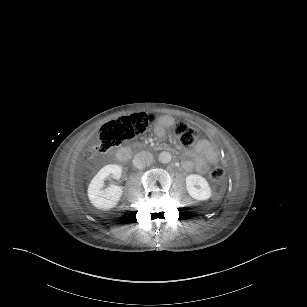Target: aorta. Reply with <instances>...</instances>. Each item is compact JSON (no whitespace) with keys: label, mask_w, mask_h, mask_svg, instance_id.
<instances>
[{"label":"aorta","mask_w":307,"mask_h":307,"mask_svg":"<svg viewBox=\"0 0 307 307\" xmlns=\"http://www.w3.org/2000/svg\"><path fill=\"white\" fill-rule=\"evenodd\" d=\"M172 159V156L169 152L163 151L159 153L158 160L160 163L168 164Z\"/></svg>","instance_id":"1"}]
</instances>
